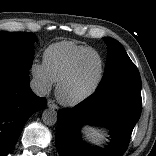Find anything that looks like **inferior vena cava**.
<instances>
[{
    "instance_id": "602c4592",
    "label": "inferior vena cava",
    "mask_w": 156,
    "mask_h": 156,
    "mask_svg": "<svg viewBox=\"0 0 156 156\" xmlns=\"http://www.w3.org/2000/svg\"><path fill=\"white\" fill-rule=\"evenodd\" d=\"M30 87L34 94H36L37 96L43 97L47 93V88L45 84L39 80L32 79L30 81Z\"/></svg>"
}]
</instances>
